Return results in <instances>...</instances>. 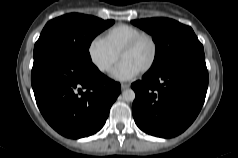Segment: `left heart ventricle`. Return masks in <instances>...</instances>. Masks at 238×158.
Listing matches in <instances>:
<instances>
[{
	"label": "left heart ventricle",
	"instance_id": "b2bd125f",
	"mask_svg": "<svg viewBox=\"0 0 238 158\" xmlns=\"http://www.w3.org/2000/svg\"><path fill=\"white\" fill-rule=\"evenodd\" d=\"M151 56L152 45L149 40L144 39L135 48L125 53L122 60L141 70L148 64Z\"/></svg>",
	"mask_w": 238,
	"mask_h": 158
}]
</instances>
